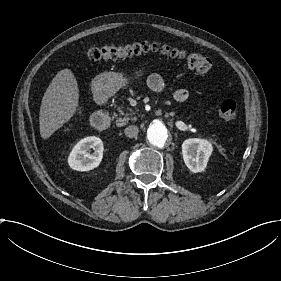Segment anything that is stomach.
I'll list each match as a JSON object with an SVG mask.
<instances>
[{
  "label": "stomach",
  "instance_id": "stomach-1",
  "mask_svg": "<svg viewBox=\"0 0 281 281\" xmlns=\"http://www.w3.org/2000/svg\"><path fill=\"white\" fill-rule=\"evenodd\" d=\"M136 75L137 77L142 76L143 71H137ZM128 83L129 80L124 78L122 74L115 72H104L95 78L93 86L96 88L98 94L111 96Z\"/></svg>",
  "mask_w": 281,
  "mask_h": 281
}]
</instances>
